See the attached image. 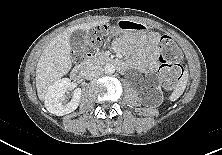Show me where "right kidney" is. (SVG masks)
I'll use <instances>...</instances> for the list:
<instances>
[{
	"label": "right kidney",
	"mask_w": 222,
	"mask_h": 155,
	"mask_svg": "<svg viewBox=\"0 0 222 155\" xmlns=\"http://www.w3.org/2000/svg\"><path fill=\"white\" fill-rule=\"evenodd\" d=\"M70 85L71 80L68 78H63L56 81L48 89L45 107L50 113L57 116H63L77 109L81 98L80 88L74 90L73 97L68 103H66L64 100V95L69 89Z\"/></svg>",
	"instance_id": "ca27d5eb"
}]
</instances>
